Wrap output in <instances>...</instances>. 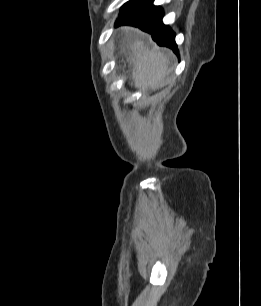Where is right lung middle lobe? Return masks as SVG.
I'll return each mask as SVG.
<instances>
[{"mask_svg":"<svg viewBox=\"0 0 261 306\" xmlns=\"http://www.w3.org/2000/svg\"><path fill=\"white\" fill-rule=\"evenodd\" d=\"M132 2V1H131ZM130 2H128V3H126L125 5H124V7L126 6V5H128Z\"/></svg>","mask_w":261,"mask_h":306,"instance_id":"dd1d6c3e","label":"right lung middle lobe"}]
</instances>
